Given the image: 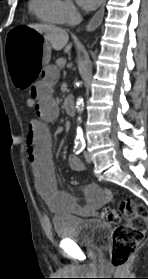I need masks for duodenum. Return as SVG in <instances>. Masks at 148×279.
<instances>
[{"label": "duodenum", "mask_w": 148, "mask_h": 279, "mask_svg": "<svg viewBox=\"0 0 148 279\" xmlns=\"http://www.w3.org/2000/svg\"><path fill=\"white\" fill-rule=\"evenodd\" d=\"M64 106L69 115L76 114V106L73 97L67 96L64 100Z\"/></svg>", "instance_id": "duodenum-1"}]
</instances>
